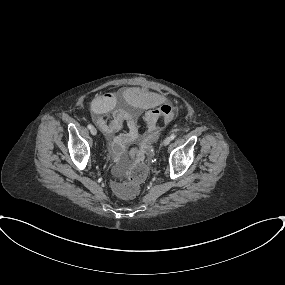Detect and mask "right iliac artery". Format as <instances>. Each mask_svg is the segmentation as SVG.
Returning a JSON list of instances; mask_svg holds the SVG:
<instances>
[{
	"mask_svg": "<svg viewBox=\"0 0 285 285\" xmlns=\"http://www.w3.org/2000/svg\"><path fill=\"white\" fill-rule=\"evenodd\" d=\"M87 127H88V129H91V128H92V125H91V124H88Z\"/></svg>",
	"mask_w": 285,
	"mask_h": 285,
	"instance_id": "1",
	"label": "right iliac artery"
}]
</instances>
